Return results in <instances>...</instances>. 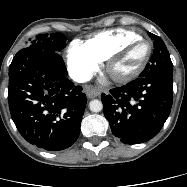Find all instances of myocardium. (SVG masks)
Masks as SVG:
<instances>
[{"label":"myocardium","mask_w":187,"mask_h":187,"mask_svg":"<svg viewBox=\"0 0 187 187\" xmlns=\"http://www.w3.org/2000/svg\"><path fill=\"white\" fill-rule=\"evenodd\" d=\"M137 42H144L147 44L148 46V51L147 54L143 60V62L132 72L126 74V75H122V76H114L111 74L110 72V67L111 65L117 60L119 59L132 45H134ZM152 50H153V46L150 40L144 38V37H138L135 39H131L129 41H126L125 43H123L122 45H120L119 47H117L115 50H113L104 60L105 61V69L108 73L111 74L112 78L120 83H124V82H128L131 81L133 79H135L136 77H138L143 71L144 69L147 67L150 59H151V55H152Z\"/></svg>","instance_id":"myocardium-1"}]
</instances>
